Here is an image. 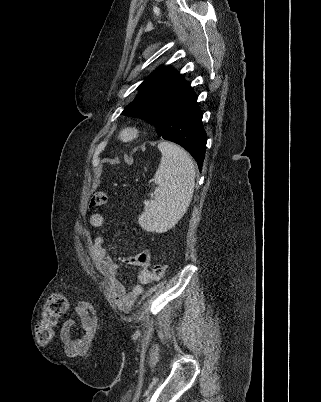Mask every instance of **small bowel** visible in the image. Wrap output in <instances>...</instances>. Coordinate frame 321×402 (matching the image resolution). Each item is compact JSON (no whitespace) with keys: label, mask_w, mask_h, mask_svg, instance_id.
<instances>
[{"label":"small bowel","mask_w":321,"mask_h":402,"mask_svg":"<svg viewBox=\"0 0 321 402\" xmlns=\"http://www.w3.org/2000/svg\"><path fill=\"white\" fill-rule=\"evenodd\" d=\"M106 218L102 213H92L89 218L90 226L93 230L102 228ZM91 254L100 273L106 278L111 293L117 305L124 311L129 312L139 296L143 292V285L151 283L152 277L148 269L150 264V253L142 251L129 257H123L122 261L139 268L138 283L133 284L129 291L118 278L119 262L115 257L107 254L104 247V238L101 235H94L91 239ZM95 305L93 302H81L76 313L78 314L80 324H83L82 330H79L78 337H68L69 330L75 328L74 320H62L61 337L66 352L73 358H82L83 353H87L88 347L92 341V335L98 327V322L93 320Z\"/></svg>","instance_id":"c3829d8e"}]
</instances>
